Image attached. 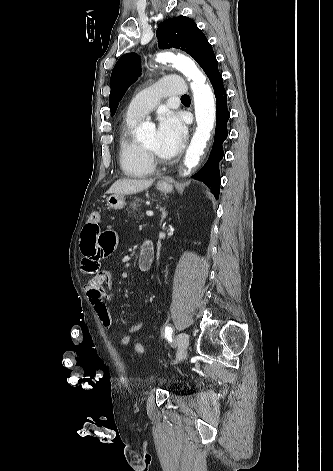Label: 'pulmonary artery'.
<instances>
[{
    "label": "pulmonary artery",
    "instance_id": "1",
    "mask_svg": "<svg viewBox=\"0 0 333 471\" xmlns=\"http://www.w3.org/2000/svg\"><path fill=\"white\" fill-rule=\"evenodd\" d=\"M186 93L187 87L182 77H164L137 94L129 103L125 116L128 119H141L154 109L160 98Z\"/></svg>",
    "mask_w": 333,
    "mask_h": 471
}]
</instances>
